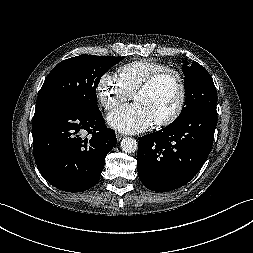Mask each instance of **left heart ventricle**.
<instances>
[{
  "label": "left heart ventricle",
  "mask_w": 253,
  "mask_h": 253,
  "mask_svg": "<svg viewBox=\"0 0 253 253\" xmlns=\"http://www.w3.org/2000/svg\"><path fill=\"white\" fill-rule=\"evenodd\" d=\"M134 99L137 103L146 105L156 121L172 113L177 104L178 93L175 84L167 79L153 90L137 93Z\"/></svg>",
  "instance_id": "obj_1"
}]
</instances>
